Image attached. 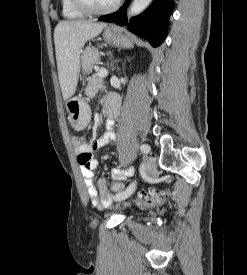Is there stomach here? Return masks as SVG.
<instances>
[{
  "label": "stomach",
  "instance_id": "0dacf381",
  "mask_svg": "<svg viewBox=\"0 0 247 275\" xmlns=\"http://www.w3.org/2000/svg\"><path fill=\"white\" fill-rule=\"evenodd\" d=\"M104 39L107 42H112L117 46L124 48L132 47L130 39L122 36L120 30L115 27L107 28L104 31ZM99 52L94 47H86L82 51L81 65L83 74L91 71L92 66L99 61ZM66 109L69 113L71 126L76 130H83L87 127L91 119V112L88 104L78 96L71 97L66 101Z\"/></svg>",
  "mask_w": 247,
  "mask_h": 275
}]
</instances>
